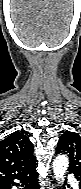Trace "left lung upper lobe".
Returning a JSON list of instances; mask_svg holds the SVG:
<instances>
[{
    "label": "left lung upper lobe",
    "instance_id": "left-lung-upper-lobe-1",
    "mask_svg": "<svg viewBox=\"0 0 81 189\" xmlns=\"http://www.w3.org/2000/svg\"><path fill=\"white\" fill-rule=\"evenodd\" d=\"M67 154L70 160L68 171L81 180V135L66 131L59 139L56 154Z\"/></svg>",
    "mask_w": 81,
    "mask_h": 189
}]
</instances>
